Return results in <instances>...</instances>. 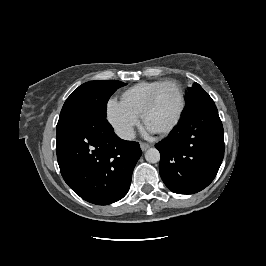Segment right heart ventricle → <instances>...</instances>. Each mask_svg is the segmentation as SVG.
<instances>
[{
	"instance_id": "e07e8e85",
	"label": "right heart ventricle",
	"mask_w": 266,
	"mask_h": 266,
	"mask_svg": "<svg viewBox=\"0 0 266 266\" xmlns=\"http://www.w3.org/2000/svg\"><path fill=\"white\" fill-rule=\"evenodd\" d=\"M163 80L143 81L125 90L122 94V101L135 113L141 114L144 105L152 92L162 83Z\"/></svg>"
}]
</instances>
